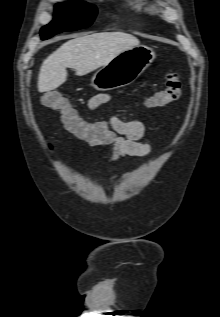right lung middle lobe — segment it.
I'll return each mask as SVG.
<instances>
[{"mask_svg":"<svg viewBox=\"0 0 220 317\" xmlns=\"http://www.w3.org/2000/svg\"><path fill=\"white\" fill-rule=\"evenodd\" d=\"M55 11L53 21L41 29L42 40L61 32L76 31L89 27L97 14L94 5L80 1L58 3L55 6Z\"/></svg>","mask_w":220,"mask_h":317,"instance_id":"right-lung-middle-lobe-1","label":"right lung middle lobe"}]
</instances>
